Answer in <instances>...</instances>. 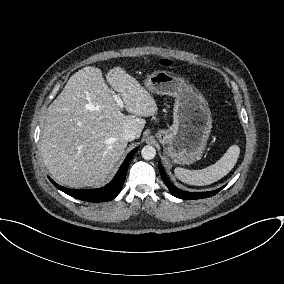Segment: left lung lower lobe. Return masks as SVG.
<instances>
[{"label":"left lung lower lobe","instance_id":"obj_1","mask_svg":"<svg viewBox=\"0 0 284 284\" xmlns=\"http://www.w3.org/2000/svg\"><path fill=\"white\" fill-rule=\"evenodd\" d=\"M158 165H159V170H160L162 180L164 181V183L168 187L171 194L173 196L177 197V198L185 199V200L202 199V198L211 197V196L215 195L216 193H218L221 189H223V187H221L217 190L210 191V192H186V191H182V190L178 189L177 187H175L170 182V180L168 179V177L165 174V171H164L162 165L160 163Z\"/></svg>","mask_w":284,"mask_h":284}]
</instances>
